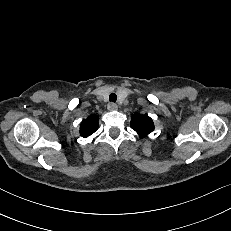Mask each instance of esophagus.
<instances>
[{
	"label": "esophagus",
	"instance_id": "1",
	"mask_svg": "<svg viewBox=\"0 0 231 231\" xmlns=\"http://www.w3.org/2000/svg\"><path fill=\"white\" fill-rule=\"evenodd\" d=\"M108 109H109L110 111H116V110L118 109V106H117L115 103H110V104L108 105Z\"/></svg>",
	"mask_w": 231,
	"mask_h": 231
}]
</instances>
